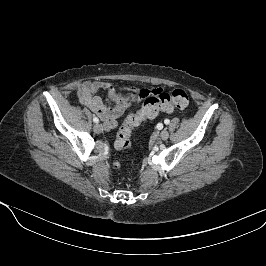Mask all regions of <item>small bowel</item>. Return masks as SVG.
<instances>
[{
	"label": "small bowel",
	"instance_id": "small-bowel-1",
	"mask_svg": "<svg viewBox=\"0 0 266 266\" xmlns=\"http://www.w3.org/2000/svg\"><path fill=\"white\" fill-rule=\"evenodd\" d=\"M99 90L107 93L105 102L100 96L96 95ZM161 89L137 90L132 87H124L119 92L114 85L105 81H86L77 88V96L81 104L98 115L103 121L106 129H113L117 125V119L134 104L138 99L146 94Z\"/></svg>",
	"mask_w": 266,
	"mask_h": 266
}]
</instances>
